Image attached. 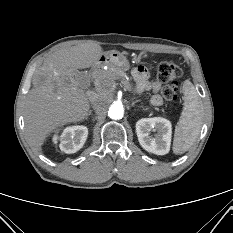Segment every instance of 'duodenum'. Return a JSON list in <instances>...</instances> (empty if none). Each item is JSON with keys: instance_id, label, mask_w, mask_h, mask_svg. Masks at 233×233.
I'll return each instance as SVG.
<instances>
[{"instance_id": "1", "label": "duodenum", "mask_w": 233, "mask_h": 233, "mask_svg": "<svg viewBox=\"0 0 233 233\" xmlns=\"http://www.w3.org/2000/svg\"><path fill=\"white\" fill-rule=\"evenodd\" d=\"M103 62L101 60L96 62V66H100Z\"/></svg>"}]
</instances>
